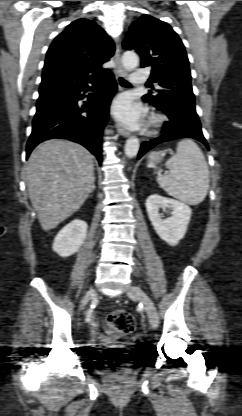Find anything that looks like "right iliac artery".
<instances>
[{"label":"right iliac artery","mask_w":242,"mask_h":416,"mask_svg":"<svg viewBox=\"0 0 242 416\" xmlns=\"http://www.w3.org/2000/svg\"><path fill=\"white\" fill-rule=\"evenodd\" d=\"M91 317V311H88L86 321L89 322Z\"/></svg>","instance_id":"obj_1"}]
</instances>
